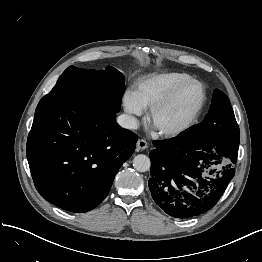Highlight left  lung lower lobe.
Instances as JSON below:
<instances>
[{"instance_id":"left-lung-lower-lobe-1","label":"left lung lower lobe","mask_w":262,"mask_h":262,"mask_svg":"<svg viewBox=\"0 0 262 262\" xmlns=\"http://www.w3.org/2000/svg\"><path fill=\"white\" fill-rule=\"evenodd\" d=\"M239 133L208 139L178 136L155 141L150 152L149 189L155 203L175 218L210 210L234 177Z\"/></svg>"}]
</instances>
